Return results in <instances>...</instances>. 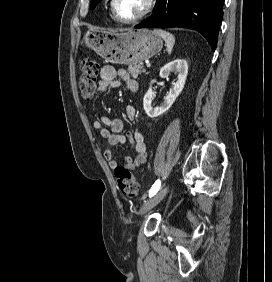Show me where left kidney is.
Here are the masks:
<instances>
[{
    "mask_svg": "<svg viewBox=\"0 0 272 282\" xmlns=\"http://www.w3.org/2000/svg\"><path fill=\"white\" fill-rule=\"evenodd\" d=\"M171 72H174L175 74H178L177 79L173 83V88L169 91L167 96L165 97L163 103L154 108L152 106V100L155 97V93L152 90V84L156 82V80L151 81L150 88L146 92L144 99H143V107L146 112V114L150 118H156L163 113H165L175 102L176 98L179 96V94L182 92L185 81L188 74V64L187 61L184 59H175L166 65L162 67L160 70V77L161 78H167Z\"/></svg>",
    "mask_w": 272,
    "mask_h": 282,
    "instance_id": "obj_1",
    "label": "left kidney"
}]
</instances>
